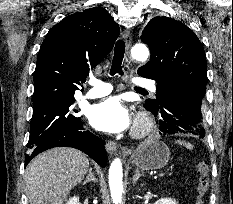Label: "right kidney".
Segmentation results:
<instances>
[{
    "instance_id": "obj_1",
    "label": "right kidney",
    "mask_w": 233,
    "mask_h": 204,
    "mask_svg": "<svg viewBox=\"0 0 233 204\" xmlns=\"http://www.w3.org/2000/svg\"><path fill=\"white\" fill-rule=\"evenodd\" d=\"M66 204H80L79 197L74 196L70 198Z\"/></svg>"
}]
</instances>
